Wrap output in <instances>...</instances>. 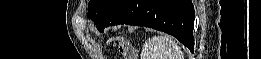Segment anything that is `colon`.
Wrapping results in <instances>:
<instances>
[{
    "label": "colon",
    "mask_w": 261,
    "mask_h": 59,
    "mask_svg": "<svg viewBox=\"0 0 261 59\" xmlns=\"http://www.w3.org/2000/svg\"><path fill=\"white\" fill-rule=\"evenodd\" d=\"M118 48L125 59H134V50L131 44L127 41L118 43Z\"/></svg>",
    "instance_id": "5ec220e1"
}]
</instances>
